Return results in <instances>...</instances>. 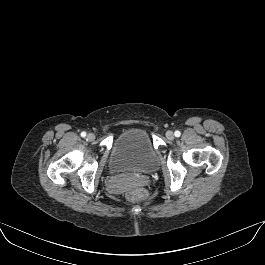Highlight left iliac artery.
I'll use <instances>...</instances> for the list:
<instances>
[{"label": "left iliac artery", "instance_id": "obj_1", "mask_svg": "<svg viewBox=\"0 0 265 265\" xmlns=\"http://www.w3.org/2000/svg\"><path fill=\"white\" fill-rule=\"evenodd\" d=\"M174 135H175L176 137H180L181 133H180V131L177 130V131H175Z\"/></svg>", "mask_w": 265, "mask_h": 265}]
</instances>
